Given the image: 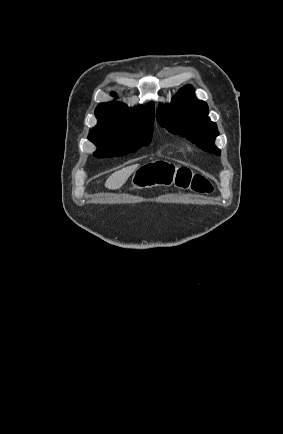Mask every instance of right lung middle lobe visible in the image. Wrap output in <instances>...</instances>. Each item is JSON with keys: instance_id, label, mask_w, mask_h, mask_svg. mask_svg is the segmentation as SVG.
I'll list each match as a JSON object with an SVG mask.
<instances>
[{"instance_id": "obj_1", "label": "right lung middle lobe", "mask_w": 283, "mask_h": 434, "mask_svg": "<svg viewBox=\"0 0 283 434\" xmlns=\"http://www.w3.org/2000/svg\"><path fill=\"white\" fill-rule=\"evenodd\" d=\"M153 123L131 128L91 130L89 140L98 146L97 157L123 156L150 143Z\"/></svg>"}]
</instances>
